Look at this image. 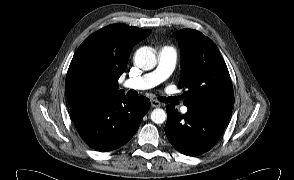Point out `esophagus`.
I'll list each match as a JSON object with an SVG mask.
<instances>
[{
    "mask_svg": "<svg viewBox=\"0 0 294 180\" xmlns=\"http://www.w3.org/2000/svg\"><path fill=\"white\" fill-rule=\"evenodd\" d=\"M161 106V103L157 100H151V107L153 108H157V107H160Z\"/></svg>",
    "mask_w": 294,
    "mask_h": 180,
    "instance_id": "obj_1",
    "label": "esophagus"
}]
</instances>
